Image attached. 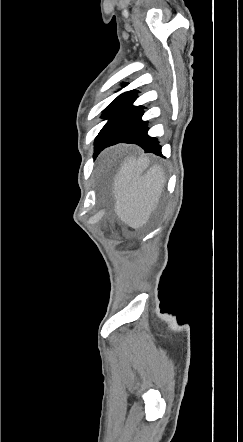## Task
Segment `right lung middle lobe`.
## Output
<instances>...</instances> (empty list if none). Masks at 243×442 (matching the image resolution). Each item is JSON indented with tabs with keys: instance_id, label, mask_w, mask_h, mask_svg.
Here are the masks:
<instances>
[{
	"instance_id": "dd1d6c3e",
	"label": "right lung middle lobe",
	"mask_w": 243,
	"mask_h": 442,
	"mask_svg": "<svg viewBox=\"0 0 243 442\" xmlns=\"http://www.w3.org/2000/svg\"><path fill=\"white\" fill-rule=\"evenodd\" d=\"M124 98L117 97L107 108L103 111L102 118H107L108 115L113 111V109L123 100Z\"/></svg>"
}]
</instances>
